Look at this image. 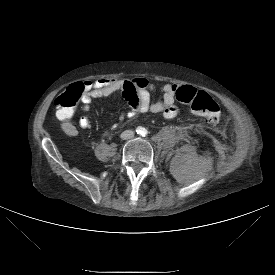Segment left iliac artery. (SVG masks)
I'll return each mask as SVG.
<instances>
[{
	"label": "left iliac artery",
	"instance_id": "obj_1",
	"mask_svg": "<svg viewBox=\"0 0 275 275\" xmlns=\"http://www.w3.org/2000/svg\"><path fill=\"white\" fill-rule=\"evenodd\" d=\"M148 134V132H147V130H143V132H142V136H146Z\"/></svg>",
	"mask_w": 275,
	"mask_h": 275
}]
</instances>
